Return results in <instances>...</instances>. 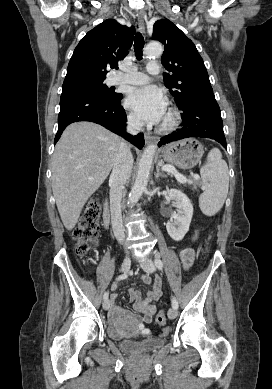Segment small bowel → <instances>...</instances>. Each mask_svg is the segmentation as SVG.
Wrapping results in <instances>:
<instances>
[{"instance_id": "obj_1", "label": "small bowel", "mask_w": 272, "mask_h": 389, "mask_svg": "<svg viewBox=\"0 0 272 389\" xmlns=\"http://www.w3.org/2000/svg\"><path fill=\"white\" fill-rule=\"evenodd\" d=\"M197 236V232H195L194 237ZM180 260L184 269H189L193 264L194 260V251L191 248H181L180 252ZM142 280L145 284H151V277L149 275H143ZM117 283L112 286V290L117 288ZM162 295V286L161 281L158 276L155 277L154 283L152 287L147 291L146 296L142 297L141 292L135 288H131L129 290V298L133 303V308L137 313L142 314V316L135 315L127 310H124L116 305H112L111 307V317L114 320H118L121 318H125L132 323L136 324L138 330L141 334L147 335L150 333L148 324L152 322V317L156 312L155 302L159 300ZM116 298L115 294L111 295L112 301Z\"/></svg>"}]
</instances>
